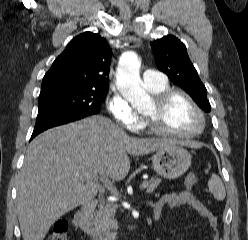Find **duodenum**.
I'll return each mask as SVG.
<instances>
[{
  "label": "duodenum",
  "mask_w": 248,
  "mask_h": 240,
  "mask_svg": "<svg viewBox=\"0 0 248 240\" xmlns=\"http://www.w3.org/2000/svg\"><path fill=\"white\" fill-rule=\"evenodd\" d=\"M96 204L97 203L94 200H88V201L84 202L83 204H81L78 211L76 212L75 221H74L75 226L78 229L81 230L87 226L88 220L90 218V214L95 209Z\"/></svg>",
  "instance_id": "duodenum-1"
}]
</instances>
